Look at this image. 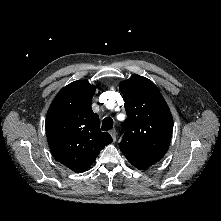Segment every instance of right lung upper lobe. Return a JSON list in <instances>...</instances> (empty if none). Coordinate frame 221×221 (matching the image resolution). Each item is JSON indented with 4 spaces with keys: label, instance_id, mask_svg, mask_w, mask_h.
Masks as SVG:
<instances>
[{
    "label": "right lung upper lobe",
    "instance_id": "1",
    "mask_svg": "<svg viewBox=\"0 0 221 221\" xmlns=\"http://www.w3.org/2000/svg\"><path fill=\"white\" fill-rule=\"evenodd\" d=\"M95 86L78 80L60 90L46 117V135L57 161L76 173L86 171L112 137L100 130L92 111Z\"/></svg>",
    "mask_w": 221,
    "mask_h": 221
}]
</instances>
